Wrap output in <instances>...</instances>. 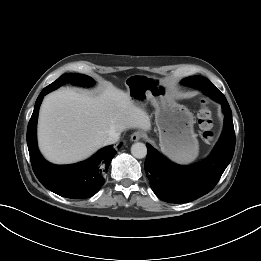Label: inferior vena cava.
Listing matches in <instances>:
<instances>
[{"label": "inferior vena cava", "instance_id": "inferior-vena-cava-1", "mask_svg": "<svg viewBox=\"0 0 261 261\" xmlns=\"http://www.w3.org/2000/svg\"><path fill=\"white\" fill-rule=\"evenodd\" d=\"M120 138V133L110 134L104 141V145H110L116 143Z\"/></svg>", "mask_w": 261, "mask_h": 261}]
</instances>
